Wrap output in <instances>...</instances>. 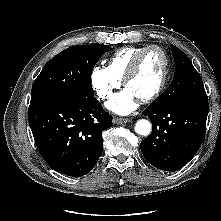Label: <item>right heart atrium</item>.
<instances>
[{
    "mask_svg": "<svg viewBox=\"0 0 221 221\" xmlns=\"http://www.w3.org/2000/svg\"><path fill=\"white\" fill-rule=\"evenodd\" d=\"M90 84L97 98L105 101L120 87L121 80L115 77L108 67L96 66L91 72Z\"/></svg>",
    "mask_w": 221,
    "mask_h": 221,
    "instance_id": "d8ad5b80",
    "label": "right heart atrium"
}]
</instances>
